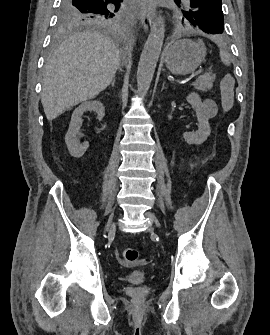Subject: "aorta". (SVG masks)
I'll use <instances>...</instances> for the list:
<instances>
[{"mask_svg":"<svg viewBox=\"0 0 270 335\" xmlns=\"http://www.w3.org/2000/svg\"><path fill=\"white\" fill-rule=\"evenodd\" d=\"M164 32V18H162V16H158L155 22H153L151 32L147 38V42L143 48L140 62L138 64L137 86L138 92H141V94H147V90L150 88L156 64L161 54Z\"/></svg>","mask_w":270,"mask_h":335,"instance_id":"aorta-1","label":"aorta"}]
</instances>
